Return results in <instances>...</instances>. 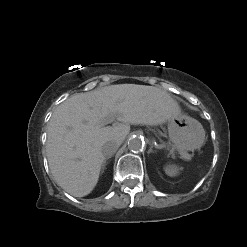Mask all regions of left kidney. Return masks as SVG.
Returning <instances> with one entry per match:
<instances>
[{
    "instance_id": "obj_1",
    "label": "left kidney",
    "mask_w": 247,
    "mask_h": 247,
    "mask_svg": "<svg viewBox=\"0 0 247 247\" xmlns=\"http://www.w3.org/2000/svg\"><path fill=\"white\" fill-rule=\"evenodd\" d=\"M180 169L181 168L177 167L176 165H167L165 166L164 171L168 176L173 177L179 174Z\"/></svg>"
}]
</instances>
